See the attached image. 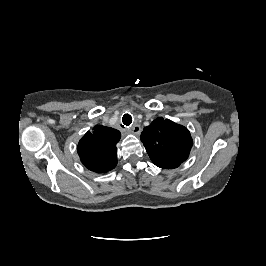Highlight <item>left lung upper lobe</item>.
<instances>
[{
	"mask_svg": "<svg viewBox=\"0 0 266 266\" xmlns=\"http://www.w3.org/2000/svg\"><path fill=\"white\" fill-rule=\"evenodd\" d=\"M140 139L153 163L163 169L180 166L192 147L188 129L162 117L145 127Z\"/></svg>",
	"mask_w": 266,
	"mask_h": 266,
	"instance_id": "left-lung-upper-lobe-1",
	"label": "left lung upper lobe"
}]
</instances>
